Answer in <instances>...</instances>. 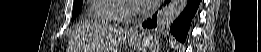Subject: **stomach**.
I'll return each mask as SVG.
<instances>
[{
	"label": "stomach",
	"mask_w": 261,
	"mask_h": 52,
	"mask_svg": "<svg viewBox=\"0 0 261 52\" xmlns=\"http://www.w3.org/2000/svg\"><path fill=\"white\" fill-rule=\"evenodd\" d=\"M157 37L153 34L137 36L129 40L130 45L132 46H141L144 50L148 47H152L157 43Z\"/></svg>",
	"instance_id": "1"
}]
</instances>
